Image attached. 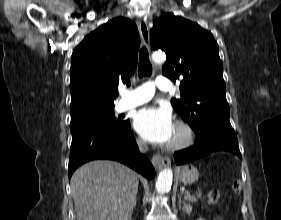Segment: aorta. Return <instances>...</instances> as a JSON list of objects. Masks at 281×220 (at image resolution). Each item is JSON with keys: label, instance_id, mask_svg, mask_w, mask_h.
<instances>
[{"label": "aorta", "instance_id": "1", "mask_svg": "<svg viewBox=\"0 0 281 220\" xmlns=\"http://www.w3.org/2000/svg\"><path fill=\"white\" fill-rule=\"evenodd\" d=\"M152 59L156 63H162L166 57L162 52H155L152 55ZM173 172L171 168H164L156 181V190L158 193H166L170 190L172 185Z\"/></svg>", "mask_w": 281, "mask_h": 220}]
</instances>
